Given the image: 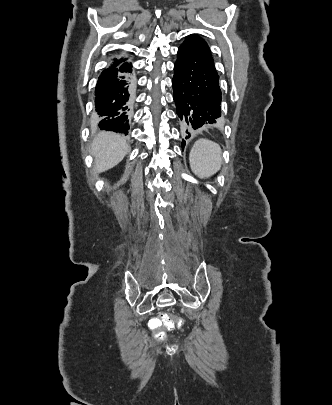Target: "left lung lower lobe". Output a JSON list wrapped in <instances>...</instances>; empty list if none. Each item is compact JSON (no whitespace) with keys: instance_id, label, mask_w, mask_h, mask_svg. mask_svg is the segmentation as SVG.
<instances>
[{"instance_id":"left-lung-lower-lobe-1","label":"left lung lower lobe","mask_w":332,"mask_h":405,"mask_svg":"<svg viewBox=\"0 0 332 405\" xmlns=\"http://www.w3.org/2000/svg\"><path fill=\"white\" fill-rule=\"evenodd\" d=\"M174 72L173 98L187 139L195 130L221 117L219 76L213 60L184 44L178 48Z\"/></svg>"}]
</instances>
